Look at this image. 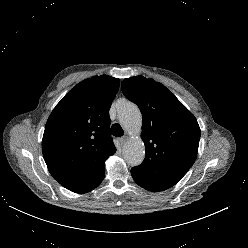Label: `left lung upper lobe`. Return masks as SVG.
I'll return each instance as SVG.
<instances>
[{"label": "left lung upper lobe", "mask_w": 248, "mask_h": 248, "mask_svg": "<svg viewBox=\"0 0 248 248\" xmlns=\"http://www.w3.org/2000/svg\"><path fill=\"white\" fill-rule=\"evenodd\" d=\"M122 92L140 108L146 156L131 174L142 188L175 185L196 160L200 127L194 115L161 83L143 76L122 81Z\"/></svg>", "instance_id": "obj_1"}]
</instances>
